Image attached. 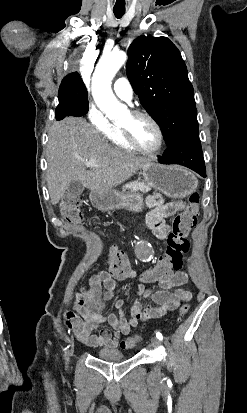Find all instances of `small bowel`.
Segmentation results:
<instances>
[{
    "instance_id": "1",
    "label": "small bowel",
    "mask_w": 247,
    "mask_h": 413,
    "mask_svg": "<svg viewBox=\"0 0 247 413\" xmlns=\"http://www.w3.org/2000/svg\"><path fill=\"white\" fill-rule=\"evenodd\" d=\"M150 208L146 216L148 227L159 237L164 238L170 232L165 219L185 209L182 201L165 202L161 195H151L146 200ZM127 256V255H126ZM110 270V267H109ZM125 276L116 274L111 277L110 271L102 270L88 279V288H81L73 295V308L78 316L71 311L64 314L63 325L69 334L90 347L117 346L119 338L128 335L131 329L139 322L160 318L175 310L181 302L191 299V292L182 288L187 282V275L176 271L174 277H159L160 290L152 292L143 289L142 282H138V294L142 298L150 299L153 305L142 306L136 300L130 307L129 315L124 312V301L114 302L113 310H106V303L116 292L117 284L123 283ZM109 326L113 333L105 329ZM95 330H100L98 335Z\"/></svg>"
}]
</instances>
